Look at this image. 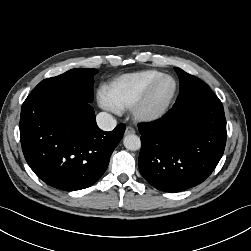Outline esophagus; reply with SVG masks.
I'll use <instances>...</instances> for the list:
<instances>
[{"mask_svg":"<svg viewBox=\"0 0 251 251\" xmlns=\"http://www.w3.org/2000/svg\"><path fill=\"white\" fill-rule=\"evenodd\" d=\"M135 133V130L133 127L131 126H128L125 130V135H129V134H134Z\"/></svg>","mask_w":251,"mask_h":251,"instance_id":"1","label":"esophagus"}]
</instances>
